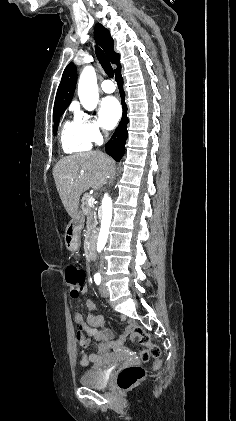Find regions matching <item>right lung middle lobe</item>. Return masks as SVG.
Instances as JSON below:
<instances>
[{
    "label": "right lung middle lobe",
    "instance_id": "right-lung-middle-lobe-1",
    "mask_svg": "<svg viewBox=\"0 0 236 421\" xmlns=\"http://www.w3.org/2000/svg\"><path fill=\"white\" fill-rule=\"evenodd\" d=\"M65 110L66 108L54 110V134H56V130L58 128L59 118L62 116Z\"/></svg>",
    "mask_w": 236,
    "mask_h": 421
}]
</instances>
